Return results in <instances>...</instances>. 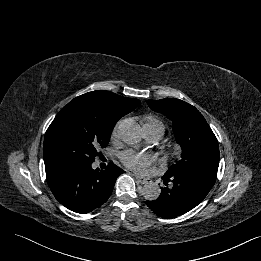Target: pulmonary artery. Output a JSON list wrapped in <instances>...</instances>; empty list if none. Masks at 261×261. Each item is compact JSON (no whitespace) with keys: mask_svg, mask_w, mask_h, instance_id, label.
Masks as SVG:
<instances>
[{"mask_svg":"<svg viewBox=\"0 0 261 261\" xmlns=\"http://www.w3.org/2000/svg\"><path fill=\"white\" fill-rule=\"evenodd\" d=\"M143 131L147 141L156 142L162 137L164 128L159 124H154L143 127Z\"/></svg>","mask_w":261,"mask_h":261,"instance_id":"1","label":"pulmonary artery"}]
</instances>
